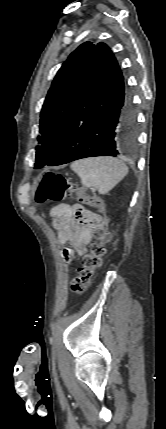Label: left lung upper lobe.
<instances>
[{
  "mask_svg": "<svg viewBox=\"0 0 166 429\" xmlns=\"http://www.w3.org/2000/svg\"><path fill=\"white\" fill-rule=\"evenodd\" d=\"M95 49L92 42L81 44L57 72L41 110L35 168L44 166L58 145L90 75Z\"/></svg>",
  "mask_w": 166,
  "mask_h": 429,
  "instance_id": "1",
  "label": "left lung upper lobe"
}]
</instances>
